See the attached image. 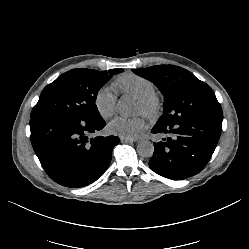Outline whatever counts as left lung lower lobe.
<instances>
[{
	"label": "left lung lower lobe",
	"instance_id": "0a47b994",
	"mask_svg": "<svg viewBox=\"0 0 249 249\" xmlns=\"http://www.w3.org/2000/svg\"><path fill=\"white\" fill-rule=\"evenodd\" d=\"M222 129L221 119L182 120L175 124H157L152 133L172 134L155 142L149 161L157 174L181 180L198 174L210 160Z\"/></svg>",
	"mask_w": 249,
	"mask_h": 249
}]
</instances>
